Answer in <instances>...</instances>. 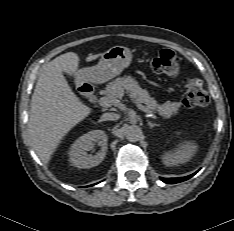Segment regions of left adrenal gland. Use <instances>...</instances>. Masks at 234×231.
Returning <instances> with one entry per match:
<instances>
[{
    "mask_svg": "<svg viewBox=\"0 0 234 231\" xmlns=\"http://www.w3.org/2000/svg\"><path fill=\"white\" fill-rule=\"evenodd\" d=\"M148 125H149V127L152 129L153 127H155V126H159V124H155V123H152V122H150V121H148Z\"/></svg>",
    "mask_w": 234,
    "mask_h": 231,
    "instance_id": "1",
    "label": "left adrenal gland"
}]
</instances>
